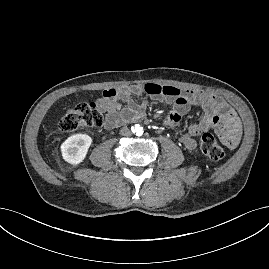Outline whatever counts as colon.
I'll list each match as a JSON object with an SVG mask.
<instances>
[{
	"instance_id": "1",
	"label": "colon",
	"mask_w": 269,
	"mask_h": 269,
	"mask_svg": "<svg viewBox=\"0 0 269 269\" xmlns=\"http://www.w3.org/2000/svg\"><path fill=\"white\" fill-rule=\"evenodd\" d=\"M105 118L96 103H81L69 108L59 121L62 132L70 133L83 128H96L104 124ZM200 149L212 162H221L226 153L210 133L200 138Z\"/></svg>"
}]
</instances>
